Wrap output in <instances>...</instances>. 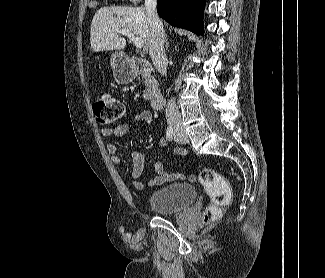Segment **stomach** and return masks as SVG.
<instances>
[{"mask_svg": "<svg viewBox=\"0 0 325 278\" xmlns=\"http://www.w3.org/2000/svg\"><path fill=\"white\" fill-rule=\"evenodd\" d=\"M113 75L118 84H128L132 82L136 73L132 66L126 61L123 53L115 52L111 57Z\"/></svg>", "mask_w": 325, "mask_h": 278, "instance_id": "obj_1", "label": "stomach"}]
</instances>
